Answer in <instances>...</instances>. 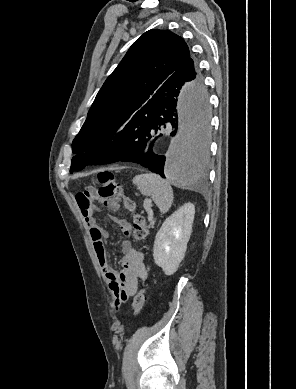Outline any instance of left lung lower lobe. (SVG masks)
<instances>
[{
  "mask_svg": "<svg viewBox=\"0 0 296 389\" xmlns=\"http://www.w3.org/2000/svg\"><path fill=\"white\" fill-rule=\"evenodd\" d=\"M185 82L190 90L195 119L185 130V138L194 164L193 178L199 177L208 158V99L202 79L195 80L192 75L168 78L154 94L151 105L134 114L101 149L98 165L134 162L164 177L165 157L156 153L155 142L162 135L160 130L163 128H171V136L176 135L179 129L177 97Z\"/></svg>",
  "mask_w": 296,
  "mask_h": 389,
  "instance_id": "0a47b994",
  "label": "left lung lower lobe"
}]
</instances>
